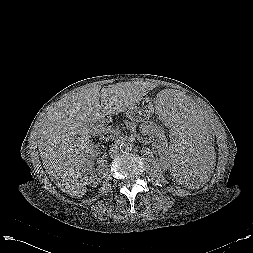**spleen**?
<instances>
[{"label":"spleen","mask_w":253,"mask_h":253,"mask_svg":"<svg viewBox=\"0 0 253 253\" xmlns=\"http://www.w3.org/2000/svg\"><path fill=\"white\" fill-rule=\"evenodd\" d=\"M154 110L170 138L173 176L184 187H197L209 176L215 158V139L202 112L181 92L160 91Z\"/></svg>","instance_id":"3e777b00"}]
</instances>
